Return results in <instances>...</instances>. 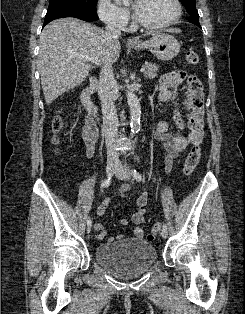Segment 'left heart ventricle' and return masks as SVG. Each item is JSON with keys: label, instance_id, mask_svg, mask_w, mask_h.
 <instances>
[{"label": "left heart ventricle", "instance_id": "left-heart-ventricle-1", "mask_svg": "<svg viewBox=\"0 0 245 314\" xmlns=\"http://www.w3.org/2000/svg\"><path fill=\"white\" fill-rule=\"evenodd\" d=\"M133 7L138 17L149 23L168 21L176 12L173 0H134Z\"/></svg>", "mask_w": 245, "mask_h": 314}]
</instances>
